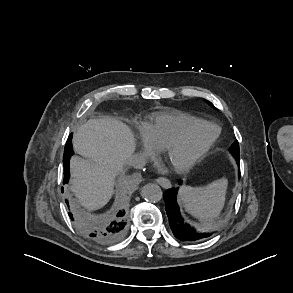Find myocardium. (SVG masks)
<instances>
[{
	"label": "myocardium",
	"mask_w": 293,
	"mask_h": 293,
	"mask_svg": "<svg viewBox=\"0 0 293 293\" xmlns=\"http://www.w3.org/2000/svg\"><path fill=\"white\" fill-rule=\"evenodd\" d=\"M199 127H209L213 130L211 136L191 154L177 158L176 153L183 149L189 139L191 132ZM220 136V129L213 123L208 121L199 120L195 123L188 125L181 135L172 143L168 144L161 149V152L165 160L169 165L177 172H186L192 169L215 145Z\"/></svg>",
	"instance_id": "myocardium-1"
}]
</instances>
